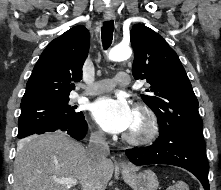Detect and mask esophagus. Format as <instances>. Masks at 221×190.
I'll list each match as a JSON object with an SVG mask.
<instances>
[{
    "label": "esophagus",
    "mask_w": 221,
    "mask_h": 190,
    "mask_svg": "<svg viewBox=\"0 0 221 190\" xmlns=\"http://www.w3.org/2000/svg\"><path fill=\"white\" fill-rule=\"evenodd\" d=\"M104 17L106 20H114L115 19V14H114V11L111 7L105 8ZM119 165L122 169H129V167H130L129 164L124 160H120Z\"/></svg>",
    "instance_id": "34e87169"
}]
</instances>
